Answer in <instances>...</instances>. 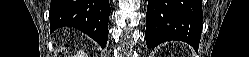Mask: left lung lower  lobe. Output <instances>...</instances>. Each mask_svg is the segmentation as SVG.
Here are the masks:
<instances>
[{"instance_id":"left-lung-lower-lobe-1","label":"left lung lower lobe","mask_w":249,"mask_h":57,"mask_svg":"<svg viewBox=\"0 0 249 57\" xmlns=\"http://www.w3.org/2000/svg\"><path fill=\"white\" fill-rule=\"evenodd\" d=\"M146 18L148 48L178 40L198 49L203 20L201 0H148Z\"/></svg>"}]
</instances>
